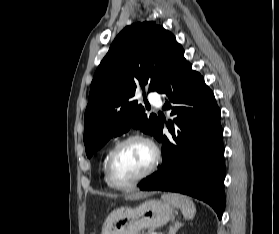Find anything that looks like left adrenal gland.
I'll use <instances>...</instances> for the list:
<instances>
[{"instance_id": "a2214340", "label": "left adrenal gland", "mask_w": 279, "mask_h": 234, "mask_svg": "<svg viewBox=\"0 0 279 234\" xmlns=\"http://www.w3.org/2000/svg\"><path fill=\"white\" fill-rule=\"evenodd\" d=\"M182 225L183 224L179 221L174 222V224L169 227L168 234H176Z\"/></svg>"}]
</instances>
